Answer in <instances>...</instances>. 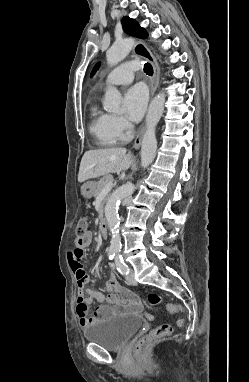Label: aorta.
Here are the masks:
<instances>
[{"label":"aorta","instance_id":"aorta-1","mask_svg":"<svg viewBox=\"0 0 249 382\" xmlns=\"http://www.w3.org/2000/svg\"><path fill=\"white\" fill-rule=\"evenodd\" d=\"M134 40L126 38L115 42L106 52V59L109 66H115L121 62L131 51ZM121 104V94L115 87H108L104 98V109L108 112H118ZM165 104V94L160 92L151 102L146 116V130L141 144V166L147 168L155 159L157 140L156 127L163 114ZM135 186L128 183L117 189L111 196L105 207V217L111 233L110 250L119 255L121 251V239L119 235V214L120 201L132 195Z\"/></svg>","mask_w":249,"mask_h":382}]
</instances>
